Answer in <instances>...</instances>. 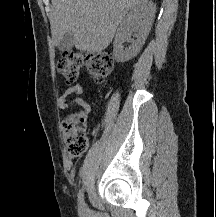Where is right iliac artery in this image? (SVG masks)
I'll list each match as a JSON object with an SVG mask.
<instances>
[{
    "label": "right iliac artery",
    "instance_id": "82829eb1",
    "mask_svg": "<svg viewBox=\"0 0 216 217\" xmlns=\"http://www.w3.org/2000/svg\"><path fill=\"white\" fill-rule=\"evenodd\" d=\"M78 205L80 210L85 211L86 208H85L84 194L82 189L78 194Z\"/></svg>",
    "mask_w": 216,
    "mask_h": 217
}]
</instances>
